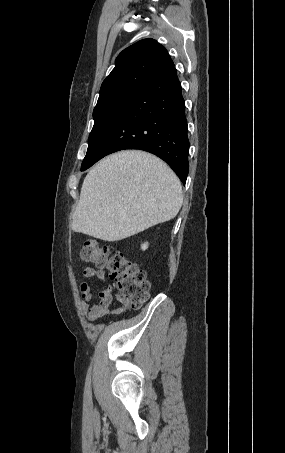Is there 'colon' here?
Here are the masks:
<instances>
[{
  "label": "colon",
  "instance_id": "5ec220e1",
  "mask_svg": "<svg viewBox=\"0 0 285 453\" xmlns=\"http://www.w3.org/2000/svg\"><path fill=\"white\" fill-rule=\"evenodd\" d=\"M84 262L106 268L117 287L119 302L133 308H140L148 299L150 283L146 273L121 251H112L98 240L87 239L80 251Z\"/></svg>",
  "mask_w": 285,
  "mask_h": 453
}]
</instances>
